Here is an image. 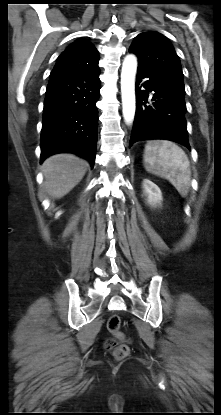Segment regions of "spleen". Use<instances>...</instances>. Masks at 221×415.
I'll use <instances>...</instances> for the list:
<instances>
[{
  "instance_id": "spleen-1",
  "label": "spleen",
  "mask_w": 221,
  "mask_h": 415,
  "mask_svg": "<svg viewBox=\"0 0 221 415\" xmlns=\"http://www.w3.org/2000/svg\"><path fill=\"white\" fill-rule=\"evenodd\" d=\"M144 166L148 172L169 180L182 197L187 196L191 177L190 162L178 145L166 140L147 143Z\"/></svg>"
}]
</instances>
